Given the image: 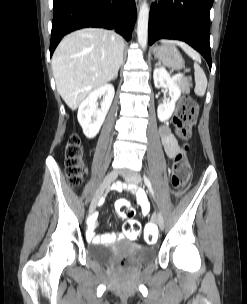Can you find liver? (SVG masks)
<instances>
[{"label": "liver", "mask_w": 247, "mask_h": 304, "mask_svg": "<svg viewBox=\"0 0 247 304\" xmlns=\"http://www.w3.org/2000/svg\"><path fill=\"white\" fill-rule=\"evenodd\" d=\"M164 42L195 52L182 42ZM123 49L122 37L106 29L85 28L62 39L53 54L52 69L57 91L70 109H77L93 90L114 79Z\"/></svg>", "instance_id": "obj_1"}]
</instances>
